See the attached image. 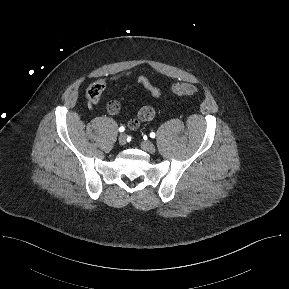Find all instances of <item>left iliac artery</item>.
Instances as JSON below:
<instances>
[{
	"mask_svg": "<svg viewBox=\"0 0 289 289\" xmlns=\"http://www.w3.org/2000/svg\"><path fill=\"white\" fill-rule=\"evenodd\" d=\"M155 136H156V135H155L154 132H151V133H150V137H151V138H155Z\"/></svg>",
	"mask_w": 289,
	"mask_h": 289,
	"instance_id": "1",
	"label": "left iliac artery"
}]
</instances>
